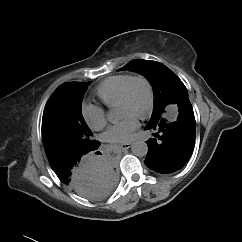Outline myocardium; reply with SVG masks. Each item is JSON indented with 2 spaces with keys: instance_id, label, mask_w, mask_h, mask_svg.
Segmentation results:
<instances>
[{
  "instance_id": "obj_1",
  "label": "myocardium",
  "mask_w": 242,
  "mask_h": 242,
  "mask_svg": "<svg viewBox=\"0 0 242 242\" xmlns=\"http://www.w3.org/2000/svg\"><path fill=\"white\" fill-rule=\"evenodd\" d=\"M137 81L143 82L147 89V94H148L147 105H146L145 109L140 114L137 115L138 118L145 120L151 116L153 109H154V102H155V94H154L153 85L146 76L135 75L129 79V81L126 83V85L124 86V88L121 92L117 106L128 102L131 88H132L133 84Z\"/></svg>"
}]
</instances>
